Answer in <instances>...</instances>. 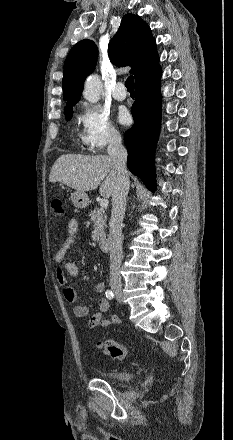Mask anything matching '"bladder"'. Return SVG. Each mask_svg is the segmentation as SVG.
I'll return each mask as SVG.
<instances>
[{"mask_svg":"<svg viewBox=\"0 0 233 440\" xmlns=\"http://www.w3.org/2000/svg\"><path fill=\"white\" fill-rule=\"evenodd\" d=\"M101 376L107 377L110 379L118 380V381H130L135 377V374L131 371L121 370V371H112V372H99Z\"/></svg>","mask_w":233,"mask_h":440,"instance_id":"31cf9c89","label":"bladder"}]
</instances>
